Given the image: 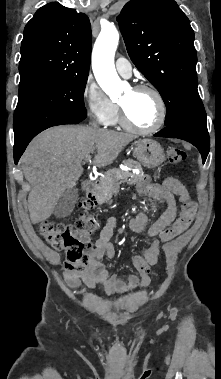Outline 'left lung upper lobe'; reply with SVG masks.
<instances>
[{"label": "left lung upper lobe", "mask_w": 221, "mask_h": 379, "mask_svg": "<svg viewBox=\"0 0 221 379\" xmlns=\"http://www.w3.org/2000/svg\"><path fill=\"white\" fill-rule=\"evenodd\" d=\"M117 20L132 62L163 98L165 124L207 127L197 90L194 31L177 3L131 0Z\"/></svg>", "instance_id": "1"}]
</instances>
